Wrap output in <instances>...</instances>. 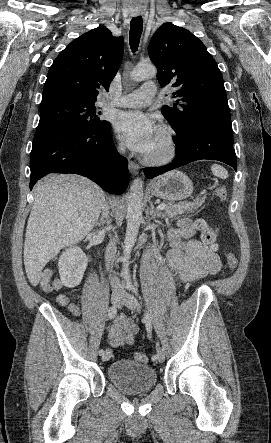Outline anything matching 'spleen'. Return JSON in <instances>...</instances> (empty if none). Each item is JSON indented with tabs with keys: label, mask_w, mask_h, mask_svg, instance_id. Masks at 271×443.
<instances>
[{
	"label": "spleen",
	"mask_w": 271,
	"mask_h": 443,
	"mask_svg": "<svg viewBox=\"0 0 271 443\" xmlns=\"http://www.w3.org/2000/svg\"><path fill=\"white\" fill-rule=\"evenodd\" d=\"M211 172L213 176H217V178H222V180H226L228 178V172L222 166H218V164H213L211 168Z\"/></svg>",
	"instance_id": "obj_1"
}]
</instances>
